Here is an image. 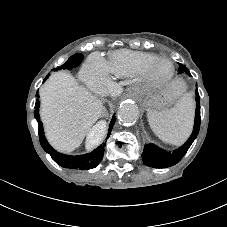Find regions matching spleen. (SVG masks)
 <instances>
[{
    "label": "spleen",
    "instance_id": "obj_1",
    "mask_svg": "<svg viewBox=\"0 0 227 227\" xmlns=\"http://www.w3.org/2000/svg\"><path fill=\"white\" fill-rule=\"evenodd\" d=\"M148 122L152 131L163 142L180 145L189 136L192 127V107L182 97L171 109L149 110Z\"/></svg>",
    "mask_w": 227,
    "mask_h": 227
}]
</instances>
